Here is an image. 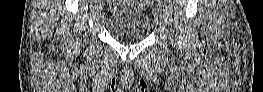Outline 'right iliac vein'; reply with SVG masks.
<instances>
[{"instance_id": "63e3f726", "label": "right iliac vein", "mask_w": 263, "mask_h": 92, "mask_svg": "<svg viewBox=\"0 0 263 92\" xmlns=\"http://www.w3.org/2000/svg\"><path fill=\"white\" fill-rule=\"evenodd\" d=\"M101 6H106V0H101ZM101 6H100V10L102 9Z\"/></svg>"}]
</instances>
